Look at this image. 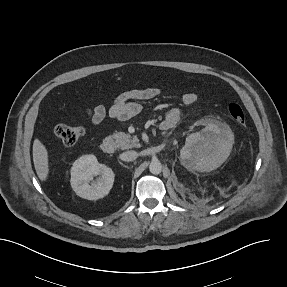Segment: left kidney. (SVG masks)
<instances>
[{
	"instance_id": "5707ae66",
	"label": "left kidney",
	"mask_w": 287,
	"mask_h": 287,
	"mask_svg": "<svg viewBox=\"0 0 287 287\" xmlns=\"http://www.w3.org/2000/svg\"><path fill=\"white\" fill-rule=\"evenodd\" d=\"M233 143L234 137L229 128L208 123L201 132L187 137L180 157L189 169L212 171L227 159Z\"/></svg>"
}]
</instances>
